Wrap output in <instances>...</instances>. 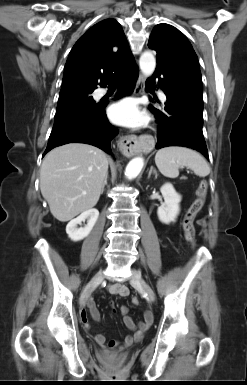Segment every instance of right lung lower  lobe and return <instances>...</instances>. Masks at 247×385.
<instances>
[{
    "label": "right lung lower lobe",
    "instance_id": "right-lung-lower-lobe-1",
    "mask_svg": "<svg viewBox=\"0 0 247 385\" xmlns=\"http://www.w3.org/2000/svg\"><path fill=\"white\" fill-rule=\"evenodd\" d=\"M137 77L138 69L136 64H133L117 78V98L132 93ZM105 107L106 104L98 103L56 114L44 155L54 147L73 142L91 144L111 154L110 143L118 134V130L109 124Z\"/></svg>",
    "mask_w": 247,
    "mask_h": 385
}]
</instances>
